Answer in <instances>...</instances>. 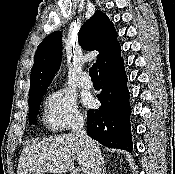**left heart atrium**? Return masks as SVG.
I'll use <instances>...</instances> for the list:
<instances>
[{
    "mask_svg": "<svg viewBox=\"0 0 175 174\" xmlns=\"http://www.w3.org/2000/svg\"><path fill=\"white\" fill-rule=\"evenodd\" d=\"M84 103L87 105V106H91L93 104V99L91 97H86L84 99Z\"/></svg>",
    "mask_w": 175,
    "mask_h": 174,
    "instance_id": "obj_1",
    "label": "left heart atrium"
}]
</instances>
